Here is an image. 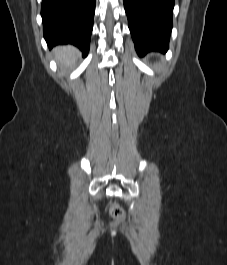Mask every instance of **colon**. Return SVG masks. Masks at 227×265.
<instances>
[{"instance_id": "5ec220e1", "label": "colon", "mask_w": 227, "mask_h": 265, "mask_svg": "<svg viewBox=\"0 0 227 265\" xmlns=\"http://www.w3.org/2000/svg\"><path fill=\"white\" fill-rule=\"evenodd\" d=\"M109 210L116 223L122 222L125 219V211L116 203L111 202Z\"/></svg>"}]
</instances>
